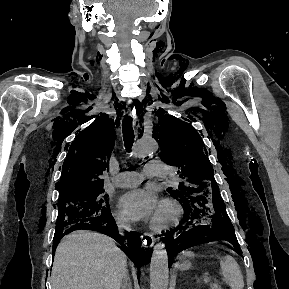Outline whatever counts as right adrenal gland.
Returning <instances> with one entry per match:
<instances>
[{"mask_svg":"<svg viewBox=\"0 0 289 289\" xmlns=\"http://www.w3.org/2000/svg\"><path fill=\"white\" fill-rule=\"evenodd\" d=\"M128 289H131V284L130 283L128 284Z\"/></svg>","mask_w":289,"mask_h":289,"instance_id":"obj_1","label":"right adrenal gland"}]
</instances>
